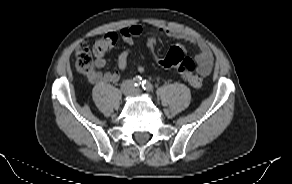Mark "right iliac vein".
I'll return each mask as SVG.
<instances>
[{
	"label": "right iliac vein",
	"instance_id": "right-iliac-vein-1",
	"mask_svg": "<svg viewBox=\"0 0 292 184\" xmlns=\"http://www.w3.org/2000/svg\"><path fill=\"white\" fill-rule=\"evenodd\" d=\"M124 93H128V85L124 88Z\"/></svg>",
	"mask_w": 292,
	"mask_h": 184
}]
</instances>
